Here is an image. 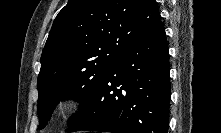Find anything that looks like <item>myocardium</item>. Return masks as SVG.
I'll use <instances>...</instances> for the list:
<instances>
[{
	"label": "myocardium",
	"mask_w": 221,
	"mask_h": 133,
	"mask_svg": "<svg viewBox=\"0 0 221 133\" xmlns=\"http://www.w3.org/2000/svg\"><path fill=\"white\" fill-rule=\"evenodd\" d=\"M79 105V101L74 97H64L58 103V111L60 113H69L75 110Z\"/></svg>",
	"instance_id": "1"
}]
</instances>
